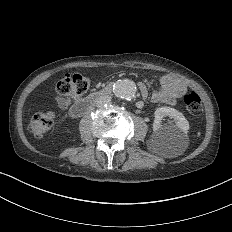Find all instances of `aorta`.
<instances>
[{
	"mask_svg": "<svg viewBox=\"0 0 232 232\" xmlns=\"http://www.w3.org/2000/svg\"><path fill=\"white\" fill-rule=\"evenodd\" d=\"M113 91L115 96L125 100H131L135 96L136 85L129 80H119L115 83Z\"/></svg>",
	"mask_w": 232,
	"mask_h": 232,
	"instance_id": "aorta-1",
	"label": "aorta"
}]
</instances>
